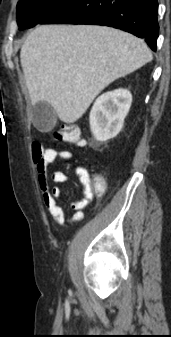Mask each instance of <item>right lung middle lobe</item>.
<instances>
[{
  "instance_id": "1",
  "label": "right lung middle lobe",
  "mask_w": 171,
  "mask_h": 337,
  "mask_svg": "<svg viewBox=\"0 0 171 337\" xmlns=\"http://www.w3.org/2000/svg\"><path fill=\"white\" fill-rule=\"evenodd\" d=\"M67 0H20L17 4V23L20 30L34 27L54 13Z\"/></svg>"
}]
</instances>
